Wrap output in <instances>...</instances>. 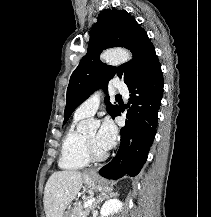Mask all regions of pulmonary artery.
<instances>
[{
  "label": "pulmonary artery",
  "mask_w": 211,
  "mask_h": 217,
  "mask_svg": "<svg viewBox=\"0 0 211 217\" xmlns=\"http://www.w3.org/2000/svg\"><path fill=\"white\" fill-rule=\"evenodd\" d=\"M113 89L123 95L128 94V88L122 81H115L113 84ZM100 99L101 91H95L76 109L75 115L82 118L94 115L99 107Z\"/></svg>",
  "instance_id": "1"
}]
</instances>
